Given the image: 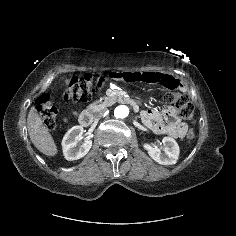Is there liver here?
Instances as JSON below:
<instances>
[{
	"label": "liver",
	"instance_id": "6515ba94",
	"mask_svg": "<svg viewBox=\"0 0 236 236\" xmlns=\"http://www.w3.org/2000/svg\"><path fill=\"white\" fill-rule=\"evenodd\" d=\"M27 128L32 143L41 153L47 156L57 154V146L35 107H31L28 113Z\"/></svg>",
	"mask_w": 236,
	"mask_h": 236
}]
</instances>
